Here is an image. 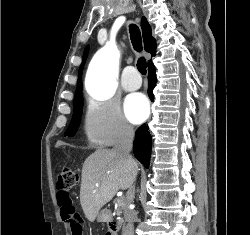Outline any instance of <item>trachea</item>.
<instances>
[{"instance_id": "trachea-1", "label": "trachea", "mask_w": 250, "mask_h": 235, "mask_svg": "<svg viewBox=\"0 0 250 235\" xmlns=\"http://www.w3.org/2000/svg\"><path fill=\"white\" fill-rule=\"evenodd\" d=\"M129 31H130V38H131L133 48L135 51L140 53L143 49L140 30L135 24H131L129 26ZM146 67H147V64H146L145 58L140 57L137 61V69L139 70L141 74L145 75Z\"/></svg>"}]
</instances>
